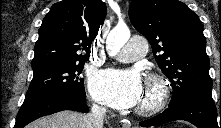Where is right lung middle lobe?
<instances>
[{"instance_id": "obj_1", "label": "right lung middle lobe", "mask_w": 221, "mask_h": 128, "mask_svg": "<svg viewBox=\"0 0 221 128\" xmlns=\"http://www.w3.org/2000/svg\"><path fill=\"white\" fill-rule=\"evenodd\" d=\"M84 61L86 60L34 73L25 99L53 91H68L77 96L86 97L83 78L79 77Z\"/></svg>"}]
</instances>
